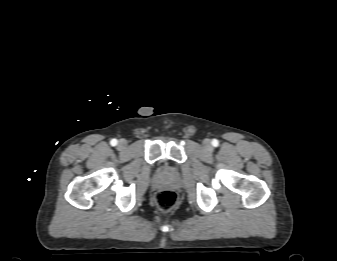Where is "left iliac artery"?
<instances>
[{"label": "left iliac artery", "mask_w": 337, "mask_h": 261, "mask_svg": "<svg viewBox=\"0 0 337 261\" xmlns=\"http://www.w3.org/2000/svg\"><path fill=\"white\" fill-rule=\"evenodd\" d=\"M218 144H219L218 140H216V139H213V140H212V145H213V146L216 147V146H218Z\"/></svg>", "instance_id": "1"}]
</instances>
